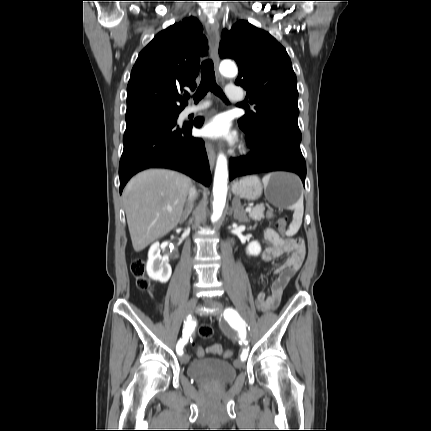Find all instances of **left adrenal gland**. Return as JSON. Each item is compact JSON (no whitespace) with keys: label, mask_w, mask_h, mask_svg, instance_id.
Here are the masks:
<instances>
[{"label":"left adrenal gland","mask_w":431,"mask_h":431,"mask_svg":"<svg viewBox=\"0 0 431 431\" xmlns=\"http://www.w3.org/2000/svg\"><path fill=\"white\" fill-rule=\"evenodd\" d=\"M231 211H233V217L235 220L239 222H248V218L244 212L243 207L241 206L240 200L234 201L232 203Z\"/></svg>","instance_id":"1"}]
</instances>
